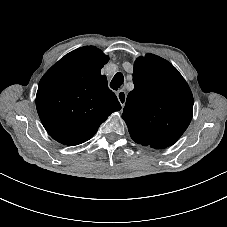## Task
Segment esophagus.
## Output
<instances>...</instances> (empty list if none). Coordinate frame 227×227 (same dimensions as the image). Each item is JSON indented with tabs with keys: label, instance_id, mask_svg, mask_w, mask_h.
I'll return each mask as SVG.
<instances>
[{
	"label": "esophagus",
	"instance_id": "1",
	"mask_svg": "<svg viewBox=\"0 0 227 227\" xmlns=\"http://www.w3.org/2000/svg\"><path fill=\"white\" fill-rule=\"evenodd\" d=\"M117 98H118L120 105L123 109V107L125 106V103H126V98H127L126 92L124 90H119L117 92Z\"/></svg>",
	"mask_w": 227,
	"mask_h": 227
}]
</instances>
